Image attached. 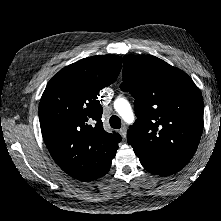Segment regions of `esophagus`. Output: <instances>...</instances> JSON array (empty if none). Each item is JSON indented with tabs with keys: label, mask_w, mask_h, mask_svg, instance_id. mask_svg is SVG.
Here are the masks:
<instances>
[{
	"label": "esophagus",
	"mask_w": 221,
	"mask_h": 221,
	"mask_svg": "<svg viewBox=\"0 0 221 221\" xmlns=\"http://www.w3.org/2000/svg\"><path fill=\"white\" fill-rule=\"evenodd\" d=\"M120 134H121V136H122L123 138L126 137V127H125V126H123V127L120 129Z\"/></svg>",
	"instance_id": "esophagus-1"
}]
</instances>
